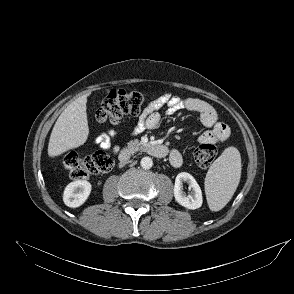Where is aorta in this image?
Listing matches in <instances>:
<instances>
[{"label": "aorta", "instance_id": "obj_1", "mask_svg": "<svg viewBox=\"0 0 294 294\" xmlns=\"http://www.w3.org/2000/svg\"><path fill=\"white\" fill-rule=\"evenodd\" d=\"M140 165L143 169H150L153 166V160L148 156L143 157L140 161Z\"/></svg>", "mask_w": 294, "mask_h": 294}]
</instances>
